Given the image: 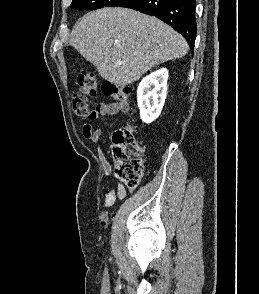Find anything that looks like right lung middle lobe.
Segmentation results:
<instances>
[{
    "mask_svg": "<svg viewBox=\"0 0 259 294\" xmlns=\"http://www.w3.org/2000/svg\"><path fill=\"white\" fill-rule=\"evenodd\" d=\"M129 0H73L71 8L79 10H96L103 7H119Z\"/></svg>",
    "mask_w": 259,
    "mask_h": 294,
    "instance_id": "1",
    "label": "right lung middle lobe"
}]
</instances>
